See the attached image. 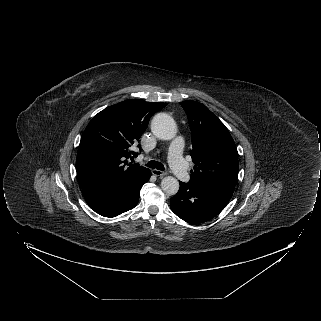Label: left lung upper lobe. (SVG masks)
<instances>
[{
    "label": "left lung upper lobe",
    "instance_id": "obj_1",
    "mask_svg": "<svg viewBox=\"0 0 321 321\" xmlns=\"http://www.w3.org/2000/svg\"><path fill=\"white\" fill-rule=\"evenodd\" d=\"M192 132L194 171L190 182L234 188L238 177V152L225 125L205 105L181 102Z\"/></svg>",
    "mask_w": 321,
    "mask_h": 321
}]
</instances>
